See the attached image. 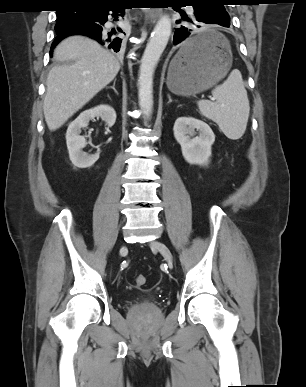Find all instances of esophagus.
<instances>
[{
    "instance_id": "esophagus-1",
    "label": "esophagus",
    "mask_w": 306,
    "mask_h": 387,
    "mask_svg": "<svg viewBox=\"0 0 306 387\" xmlns=\"http://www.w3.org/2000/svg\"><path fill=\"white\" fill-rule=\"evenodd\" d=\"M162 10L159 8H151L146 14V20L150 23H155L156 20L161 16Z\"/></svg>"
}]
</instances>
